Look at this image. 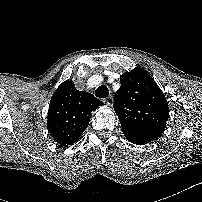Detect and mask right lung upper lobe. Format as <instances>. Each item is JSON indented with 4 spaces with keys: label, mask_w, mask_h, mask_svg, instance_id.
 I'll return each mask as SVG.
<instances>
[{
    "label": "right lung upper lobe",
    "mask_w": 202,
    "mask_h": 202,
    "mask_svg": "<svg viewBox=\"0 0 202 202\" xmlns=\"http://www.w3.org/2000/svg\"><path fill=\"white\" fill-rule=\"evenodd\" d=\"M102 105L93 94L77 90L74 82H63L49 105L47 127L50 135L62 147L72 145L87 128L91 112Z\"/></svg>",
    "instance_id": "obj_1"
}]
</instances>
